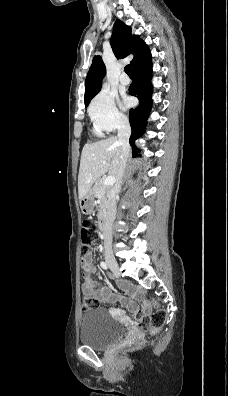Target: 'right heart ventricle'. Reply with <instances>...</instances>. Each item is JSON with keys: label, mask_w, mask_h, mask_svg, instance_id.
Wrapping results in <instances>:
<instances>
[{"label": "right heart ventricle", "mask_w": 228, "mask_h": 396, "mask_svg": "<svg viewBox=\"0 0 228 396\" xmlns=\"http://www.w3.org/2000/svg\"><path fill=\"white\" fill-rule=\"evenodd\" d=\"M96 133H99V131H98V130H96Z\"/></svg>", "instance_id": "1"}]
</instances>
